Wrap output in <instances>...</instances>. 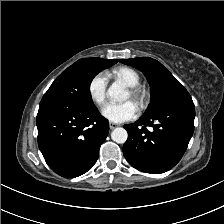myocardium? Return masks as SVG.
<instances>
[{"instance_id": "obj_1", "label": "myocardium", "mask_w": 224, "mask_h": 224, "mask_svg": "<svg viewBox=\"0 0 224 224\" xmlns=\"http://www.w3.org/2000/svg\"><path fill=\"white\" fill-rule=\"evenodd\" d=\"M130 98L140 107L143 108L147 105L149 96L147 91L140 86L128 87Z\"/></svg>"}]
</instances>
